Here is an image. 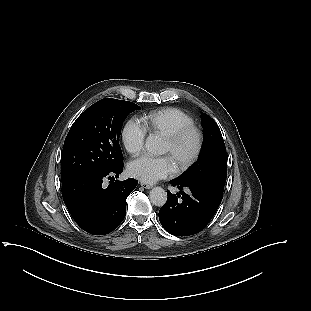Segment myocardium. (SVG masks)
Masks as SVG:
<instances>
[{
	"label": "myocardium",
	"mask_w": 311,
	"mask_h": 311,
	"mask_svg": "<svg viewBox=\"0 0 311 311\" xmlns=\"http://www.w3.org/2000/svg\"><path fill=\"white\" fill-rule=\"evenodd\" d=\"M187 136L193 137V147L185 157H183L176 163L177 169L187 168L197 159L202 147V133L198 127L192 124L181 127L173 133L164 137V140L173 150Z\"/></svg>",
	"instance_id": "f54148a6"
}]
</instances>
